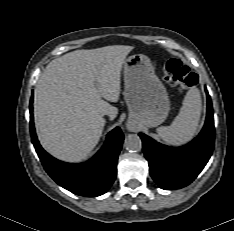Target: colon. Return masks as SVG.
Here are the masks:
<instances>
[{"label": "colon", "instance_id": "1", "mask_svg": "<svg viewBox=\"0 0 234 231\" xmlns=\"http://www.w3.org/2000/svg\"><path fill=\"white\" fill-rule=\"evenodd\" d=\"M164 79L182 90L194 88L198 83L197 74L176 58H168L164 61Z\"/></svg>", "mask_w": 234, "mask_h": 231}]
</instances>
